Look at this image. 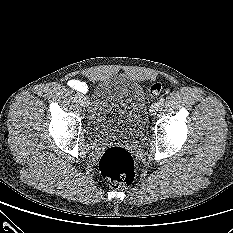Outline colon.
<instances>
[{
	"instance_id": "1",
	"label": "colon",
	"mask_w": 233,
	"mask_h": 233,
	"mask_svg": "<svg viewBox=\"0 0 233 233\" xmlns=\"http://www.w3.org/2000/svg\"><path fill=\"white\" fill-rule=\"evenodd\" d=\"M163 83H153L148 93L157 97L162 91ZM99 171L105 181L115 189L129 186L135 176V166L128 151L119 146L109 147L104 151L98 163Z\"/></svg>"
}]
</instances>
